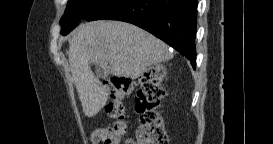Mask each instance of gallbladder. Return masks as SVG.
Here are the masks:
<instances>
[{"label": "gallbladder", "mask_w": 273, "mask_h": 144, "mask_svg": "<svg viewBox=\"0 0 273 144\" xmlns=\"http://www.w3.org/2000/svg\"><path fill=\"white\" fill-rule=\"evenodd\" d=\"M97 74L98 80H108L111 73L105 65H98Z\"/></svg>", "instance_id": "1"}]
</instances>
